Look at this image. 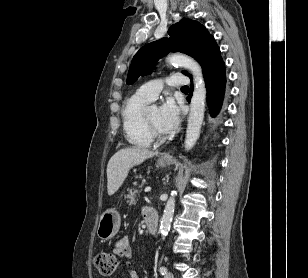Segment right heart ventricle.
Instances as JSON below:
<instances>
[{
	"mask_svg": "<svg viewBox=\"0 0 308 278\" xmlns=\"http://www.w3.org/2000/svg\"><path fill=\"white\" fill-rule=\"evenodd\" d=\"M150 101L138 93L126 99L121 116L126 140L135 147L147 148L153 142L143 120L146 105Z\"/></svg>",
	"mask_w": 308,
	"mask_h": 278,
	"instance_id": "1",
	"label": "right heart ventricle"
}]
</instances>
